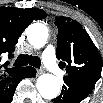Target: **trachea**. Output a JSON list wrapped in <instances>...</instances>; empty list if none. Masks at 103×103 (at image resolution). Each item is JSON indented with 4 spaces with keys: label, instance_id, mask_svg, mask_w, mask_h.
<instances>
[{
    "label": "trachea",
    "instance_id": "1",
    "mask_svg": "<svg viewBox=\"0 0 103 103\" xmlns=\"http://www.w3.org/2000/svg\"><path fill=\"white\" fill-rule=\"evenodd\" d=\"M32 65L35 68H40L41 66V60L37 56H32V55H19L18 58L16 59L14 65L21 67L25 65Z\"/></svg>",
    "mask_w": 103,
    "mask_h": 103
}]
</instances>
